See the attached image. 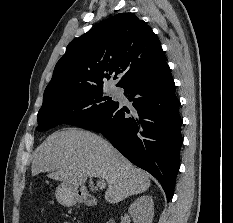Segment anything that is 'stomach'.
<instances>
[{
	"label": "stomach",
	"mask_w": 233,
	"mask_h": 223,
	"mask_svg": "<svg viewBox=\"0 0 233 223\" xmlns=\"http://www.w3.org/2000/svg\"><path fill=\"white\" fill-rule=\"evenodd\" d=\"M87 191H82L79 193L78 185H73V183H60L55 189V197L61 205H66V207H72L76 205L79 201V197H86Z\"/></svg>",
	"instance_id": "obj_1"
}]
</instances>
